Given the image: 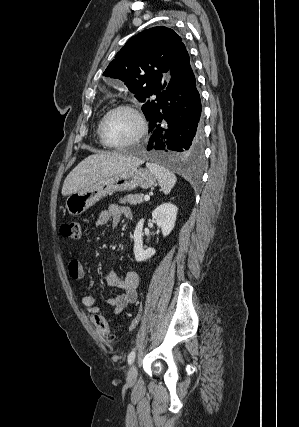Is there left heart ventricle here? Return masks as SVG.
I'll return each mask as SVG.
<instances>
[{"label":"left heart ventricle","mask_w":299,"mask_h":427,"mask_svg":"<svg viewBox=\"0 0 299 427\" xmlns=\"http://www.w3.org/2000/svg\"><path fill=\"white\" fill-rule=\"evenodd\" d=\"M138 130V124L132 114L127 111H117L106 121L104 135L111 144H123L130 141Z\"/></svg>","instance_id":"1"}]
</instances>
